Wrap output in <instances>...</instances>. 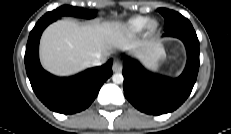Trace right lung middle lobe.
<instances>
[{
  "mask_svg": "<svg viewBox=\"0 0 231 134\" xmlns=\"http://www.w3.org/2000/svg\"><path fill=\"white\" fill-rule=\"evenodd\" d=\"M71 15L82 18H94L96 16L95 11H85L81 7H72L68 5H63L51 12L46 13L41 19H54L57 20L61 16Z\"/></svg>",
  "mask_w": 231,
  "mask_h": 134,
  "instance_id": "obj_1",
  "label": "right lung middle lobe"
}]
</instances>
